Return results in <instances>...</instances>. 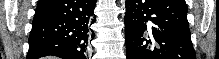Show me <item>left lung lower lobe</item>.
<instances>
[{
	"instance_id": "left-lung-lower-lobe-1",
	"label": "left lung lower lobe",
	"mask_w": 219,
	"mask_h": 59,
	"mask_svg": "<svg viewBox=\"0 0 219 59\" xmlns=\"http://www.w3.org/2000/svg\"><path fill=\"white\" fill-rule=\"evenodd\" d=\"M127 59H196L185 0H126Z\"/></svg>"
}]
</instances>
